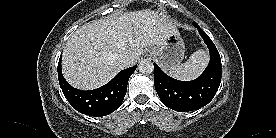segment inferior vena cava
I'll list each match as a JSON object with an SVG mask.
<instances>
[{
  "label": "inferior vena cava",
  "instance_id": "obj_1",
  "mask_svg": "<svg viewBox=\"0 0 276 138\" xmlns=\"http://www.w3.org/2000/svg\"><path fill=\"white\" fill-rule=\"evenodd\" d=\"M119 61L121 62V64L123 65V66H130L131 65V63H132V57L130 56V55H128V54H126V53H124V54H121L120 56H119Z\"/></svg>",
  "mask_w": 276,
  "mask_h": 138
}]
</instances>
